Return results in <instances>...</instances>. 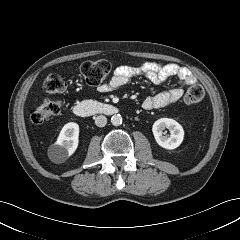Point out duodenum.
I'll return each instance as SVG.
<instances>
[{"label":"duodenum","mask_w":240,"mask_h":240,"mask_svg":"<svg viewBox=\"0 0 240 240\" xmlns=\"http://www.w3.org/2000/svg\"><path fill=\"white\" fill-rule=\"evenodd\" d=\"M118 112L116 106L93 100H85L73 107V113L78 117H87L96 114L114 115Z\"/></svg>","instance_id":"1"}]
</instances>
